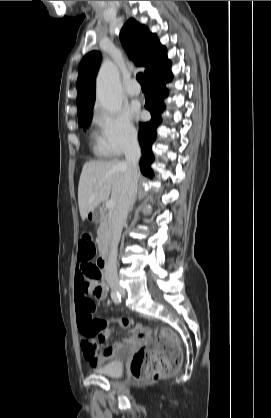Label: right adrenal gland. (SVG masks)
<instances>
[{"label": "right adrenal gland", "instance_id": "2a0ac1e0", "mask_svg": "<svg viewBox=\"0 0 271 418\" xmlns=\"http://www.w3.org/2000/svg\"><path fill=\"white\" fill-rule=\"evenodd\" d=\"M135 201H136V199H134V201H133V203H132V205H131V207H130V209H129V211H130V212L133 210V207H134Z\"/></svg>", "mask_w": 271, "mask_h": 418}]
</instances>
